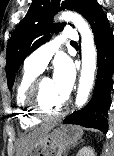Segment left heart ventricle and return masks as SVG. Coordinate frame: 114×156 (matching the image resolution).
Returning a JSON list of instances; mask_svg holds the SVG:
<instances>
[{"instance_id":"left-heart-ventricle-1","label":"left heart ventricle","mask_w":114,"mask_h":156,"mask_svg":"<svg viewBox=\"0 0 114 156\" xmlns=\"http://www.w3.org/2000/svg\"><path fill=\"white\" fill-rule=\"evenodd\" d=\"M41 100L45 110L55 112L60 109L66 99L57 92L53 80L47 77L41 85Z\"/></svg>"}]
</instances>
